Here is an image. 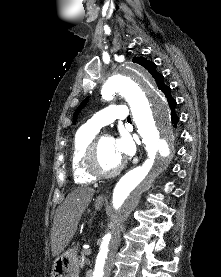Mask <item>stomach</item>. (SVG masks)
<instances>
[{"instance_id":"obj_1","label":"stomach","mask_w":221,"mask_h":277,"mask_svg":"<svg viewBox=\"0 0 221 277\" xmlns=\"http://www.w3.org/2000/svg\"><path fill=\"white\" fill-rule=\"evenodd\" d=\"M103 204V200L96 199L94 201L96 210H100ZM79 267L78 246H74L64 251L54 260L51 277H79Z\"/></svg>"}]
</instances>
